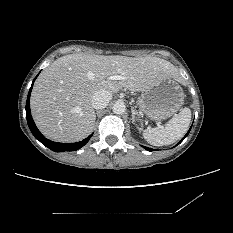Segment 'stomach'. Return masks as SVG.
Segmentation results:
<instances>
[{"label": "stomach", "instance_id": "stomach-1", "mask_svg": "<svg viewBox=\"0 0 233 233\" xmlns=\"http://www.w3.org/2000/svg\"><path fill=\"white\" fill-rule=\"evenodd\" d=\"M184 93L178 82L169 78L142 91L137 104L151 120L160 121L174 115L183 105Z\"/></svg>", "mask_w": 233, "mask_h": 233}]
</instances>
